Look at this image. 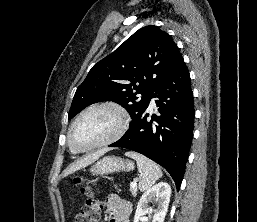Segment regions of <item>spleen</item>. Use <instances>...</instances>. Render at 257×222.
<instances>
[{
	"label": "spleen",
	"instance_id": "obj_1",
	"mask_svg": "<svg viewBox=\"0 0 257 222\" xmlns=\"http://www.w3.org/2000/svg\"><path fill=\"white\" fill-rule=\"evenodd\" d=\"M125 155L135 159L137 162L140 173L139 189L141 191L148 190L156 180L162 177L163 174L160 167L144 155L132 151L126 152Z\"/></svg>",
	"mask_w": 257,
	"mask_h": 222
}]
</instances>
